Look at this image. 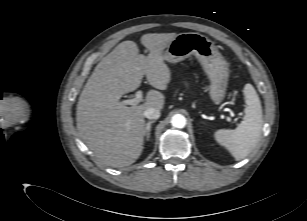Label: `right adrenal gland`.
<instances>
[{
    "mask_svg": "<svg viewBox=\"0 0 307 221\" xmlns=\"http://www.w3.org/2000/svg\"><path fill=\"white\" fill-rule=\"evenodd\" d=\"M155 121H149L146 123L145 126V130H144V137L146 138V140H149L150 138V134H151V125L154 123Z\"/></svg>",
    "mask_w": 307,
    "mask_h": 221,
    "instance_id": "obj_1",
    "label": "right adrenal gland"
}]
</instances>
